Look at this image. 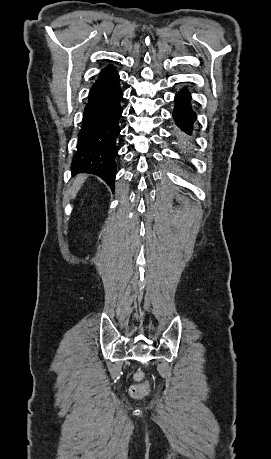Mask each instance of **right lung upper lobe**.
<instances>
[{"label": "right lung upper lobe", "instance_id": "1", "mask_svg": "<svg viewBox=\"0 0 271 459\" xmlns=\"http://www.w3.org/2000/svg\"><path fill=\"white\" fill-rule=\"evenodd\" d=\"M113 67L112 66H109V67H106L105 69L102 70V72L100 73V75L104 74V73H107V72H110V71H113Z\"/></svg>", "mask_w": 271, "mask_h": 459}]
</instances>
